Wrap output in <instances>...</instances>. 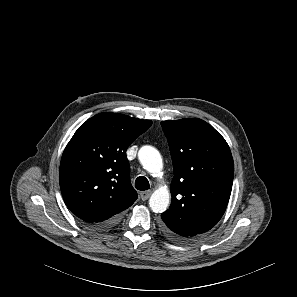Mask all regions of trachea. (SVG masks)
I'll list each match as a JSON object with an SVG mask.
<instances>
[{"label": "trachea", "mask_w": 297, "mask_h": 297, "mask_svg": "<svg viewBox=\"0 0 297 297\" xmlns=\"http://www.w3.org/2000/svg\"><path fill=\"white\" fill-rule=\"evenodd\" d=\"M135 188L141 191L148 190L150 188L149 181L144 176H139L135 180Z\"/></svg>", "instance_id": "obj_1"}]
</instances>
